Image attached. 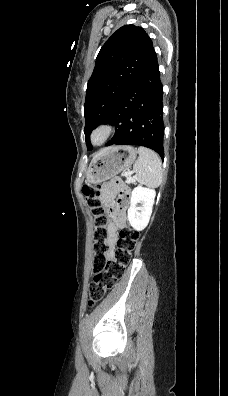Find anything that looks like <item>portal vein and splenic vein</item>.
<instances>
[{
    "label": "portal vein and splenic vein",
    "mask_w": 228,
    "mask_h": 396,
    "mask_svg": "<svg viewBox=\"0 0 228 396\" xmlns=\"http://www.w3.org/2000/svg\"><path fill=\"white\" fill-rule=\"evenodd\" d=\"M132 172H126V176H130Z\"/></svg>",
    "instance_id": "obj_1"
}]
</instances>
